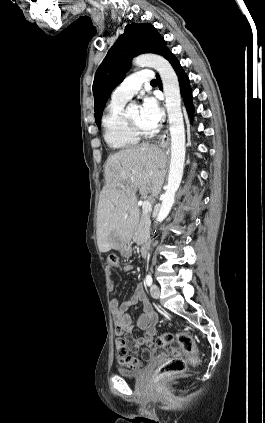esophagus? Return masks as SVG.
Wrapping results in <instances>:
<instances>
[{
    "mask_svg": "<svg viewBox=\"0 0 265 423\" xmlns=\"http://www.w3.org/2000/svg\"><path fill=\"white\" fill-rule=\"evenodd\" d=\"M158 143L161 144V146H166L169 143V133L168 130H166L158 139Z\"/></svg>",
    "mask_w": 265,
    "mask_h": 423,
    "instance_id": "esophagus-1",
    "label": "esophagus"
}]
</instances>
